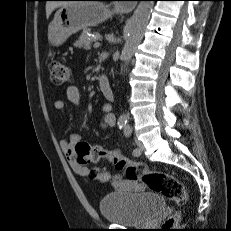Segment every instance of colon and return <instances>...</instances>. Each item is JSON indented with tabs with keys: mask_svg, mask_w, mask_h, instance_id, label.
Instances as JSON below:
<instances>
[{
	"mask_svg": "<svg viewBox=\"0 0 231 231\" xmlns=\"http://www.w3.org/2000/svg\"><path fill=\"white\" fill-rule=\"evenodd\" d=\"M51 81L56 86H65L71 82L70 68L59 60L51 62ZM77 162L79 164L98 163L109 161L117 170L123 171L128 181H141L149 190L160 193L167 199L182 205L187 200V192L182 184L174 175L150 170L146 164L141 162H131L124 157L118 150H107L99 146H93L86 142L79 141L75 145ZM90 177L94 180L106 182L110 175L98 168L90 172ZM180 220L179 213L171 216L166 224L165 230H173Z\"/></svg>",
	"mask_w": 231,
	"mask_h": 231,
	"instance_id": "colon-1",
	"label": "colon"
}]
</instances>
